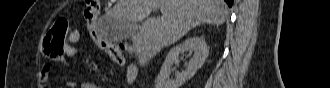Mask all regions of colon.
Returning a JSON list of instances; mask_svg holds the SVG:
<instances>
[{"label":"colon","instance_id":"obj_1","mask_svg":"<svg viewBox=\"0 0 330 88\" xmlns=\"http://www.w3.org/2000/svg\"><path fill=\"white\" fill-rule=\"evenodd\" d=\"M101 2L98 0H89L84 8V18L89 29L91 39L94 44L102 49L107 50L111 44L102 38L96 29V21L100 14ZM68 37V21L66 19H58L49 29L43 40V53L46 57L52 60H58L63 57L67 44ZM118 47V46H117ZM111 59L118 63L121 60L120 54L110 56Z\"/></svg>","mask_w":330,"mask_h":88}]
</instances>
